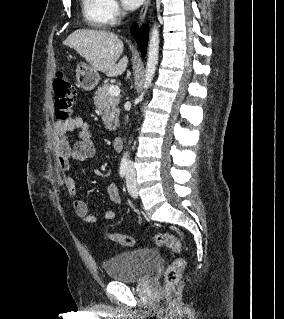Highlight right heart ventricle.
Returning a JSON list of instances; mask_svg holds the SVG:
<instances>
[{"instance_id": "1", "label": "right heart ventricle", "mask_w": 284, "mask_h": 319, "mask_svg": "<svg viewBox=\"0 0 284 319\" xmlns=\"http://www.w3.org/2000/svg\"><path fill=\"white\" fill-rule=\"evenodd\" d=\"M83 17L86 22L95 28H105L110 23L106 0H81Z\"/></svg>"}]
</instances>
